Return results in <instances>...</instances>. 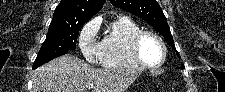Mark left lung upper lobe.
Returning a JSON list of instances; mask_svg holds the SVG:
<instances>
[{"instance_id":"1","label":"left lung upper lobe","mask_w":225,"mask_h":92,"mask_svg":"<svg viewBox=\"0 0 225 92\" xmlns=\"http://www.w3.org/2000/svg\"><path fill=\"white\" fill-rule=\"evenodd\" d=\"M110 2L115 7L131 12L144 19L161 35H163L167 43L175 49L173 37L167 24V19L156 0H110ZM176 54L180 57L177 51ZM181 68L184 69L185 66L181 65Z\"/></svg>"}]
</instances>
